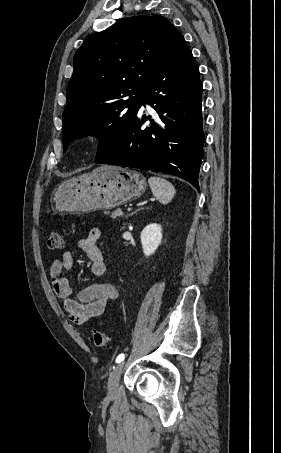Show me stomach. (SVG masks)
I'll return each mask as SVG.
<instances>
[{"instance_id":"1","label":"stomach","mask_w":281,"mask_h":453,"mask_svg":"<svg viewBox=\"0 0 281 453\" xmlns=\"http://www.w3.org/2000/svg\"><path fill=\"white\" fill-rule=\"evenodd\" d=\"M146 186L140 172L107 166L105 170L84 172L64 180L55 188L53 202L58 212H92L135 200Z\"/></svg>"}]
</instances>
